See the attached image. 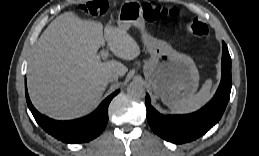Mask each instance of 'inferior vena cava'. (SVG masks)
<instances>
[{
  "label": "inferior vena cava",
  "instance_id": "1",
  "mask_svg": "<svg viewBox=\"0 0 259 156\" xmlns=\"http://www.w3.org/2000/svg\"><path fill=\"white\" fill-rule=\"evenodd\" d=\"M118 76H119L118 73H116V72H111V73H109V74L107 75V79H108L109 82H112V81L118 79Z\"/></svg>",
  "mask_w": 259,
  "mask_h": 156
}]
</instances>
